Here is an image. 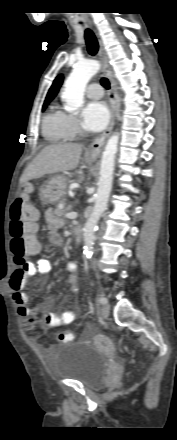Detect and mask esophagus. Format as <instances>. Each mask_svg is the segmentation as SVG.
<instances>
[{
	"mask_svg": "<svg viewBox=\"0 0 177 440\" xmlns=\"http://www.w3.org/2000/svg\"><path fill=\"white\" fill-rule=\"evenodd\" d=\"M95 33H96V36H97L98 42H99V58H100L101 65H102V72L110 79V82H111V89L109 91V100H110V106H111V120L109 122L107 129L103 132V134L101 136L97 137L92 142V144L89 146L88 154L90 156H97L102 151V149L105 145V142L112 131L114 121H115L116 108H117V105H116V84L113 79L112 71H111V68H110V65L108 62V56L105 51V48H104V45H103V42H102L100 35L98 34L97 31H95Z\"/></svg>",
	"mask_w": 177,
	"mask_h": 440,
	"instance_id": "esophagus-1",
	"label": "esophagus"
}]
</instances>
